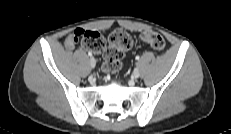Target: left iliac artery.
Returning <instances> with one entry per match:
<instances>
[{"label": "left iliac artery", "mask_w": 231, "mask_h": 134, "mask_svg": "<svg viewBox=\"0 0 231 134\" xmlns=\"http://www.w3.org/2000/svg\"><path fill=\"white\" fill-rule=\"evenodd\" d=\"M136 60H139L140 59V57L139 56H136V58H135Z\"/></svg>", "instance_id": "obj_1"}]
</instances>
